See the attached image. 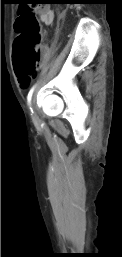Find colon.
Here are the masks:
<instances>
[{"label": "colon", "mask_w": 122, "mask_h": 257, "mask_svg": "<svg viewBox=\"0 0 122 257\" xmlns=\"http://www.w3.org/2000/svg\"><path fill=\"white\" fill-rule=\"evenodd\" d=\"M19 15L15 22L17 36L13 45V61L18 76L30 78L41 62L39 24L30 10L36 5H16Z\"/></svg>", "instance_id": "obj_1"}]
</instances>
